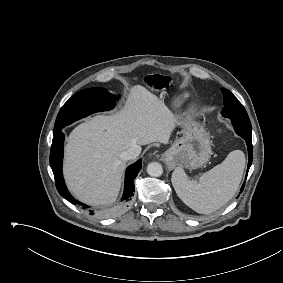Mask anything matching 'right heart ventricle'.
I'll return each mask as SVG.
<instances>
[{
	"label": "right heart ventricle",
	"mask_w": 283,
	"mask_h": 283,
	"mask_svg": "<svg viewBox=\"0 0 283 283\" xmlns=\"http://www.w3.org/2000/svg\"><path fill=\"white\" fill-rule=\"evenodd\" d=\"M185 98H186V95H181V96L176 97L172 102V106L174 107L180 106L185 100Z\"/></svg>",
	"instance_id": "obj_1"
}]
</instances>
